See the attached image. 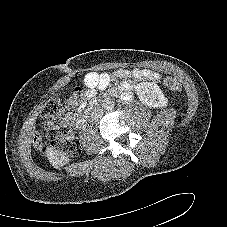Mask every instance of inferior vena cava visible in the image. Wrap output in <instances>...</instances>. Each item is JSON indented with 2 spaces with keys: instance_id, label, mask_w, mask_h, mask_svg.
<instances>
[{
  "instance_id": "inferior-vena-cava-1",
  "label": "inferior vena cava",
  "mask_w": 227,
  "mask_h": 227,
  "mask_svg": "<svg viewBox=\"0 0 227 227\" xmlns=\"http://www.w3.org/2000/svg\"><path fill=\"white\" fill-rule=\"evenodd\" d=\"M103 116V110L100 108H94L91 113H90V118L91 120L97 121L98 119H100Z\"/></svg>"
}]
</instances>
